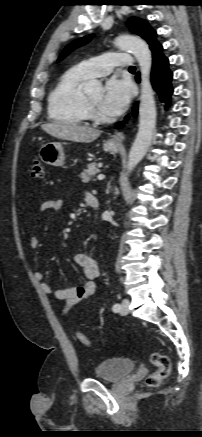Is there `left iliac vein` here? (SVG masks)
I'll list each match as a JSON object with an SVG mask.
<instances>
[{"label": "left iliac vein", "instance_id": "4c4485c4", "mask_svg": "<svg viewBox=\"0 0 202 437\" xmlns=\"http://www.w3.org/2000/svg\"><path fill=\"white\" fill-rule=\"evenodd\" d=\"M120 313L122 315H126L129 313V300L128 299H124L121 303V309H120Z\"/></svg>", "mask_w": 202, "mask_h": 437}]
</instances>
